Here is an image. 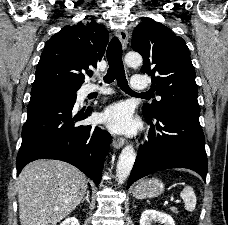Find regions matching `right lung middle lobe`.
<instances>
[{
  "instance_id": "right-lung-middle-lobe-1",
  "label": "right lung middle lobe",
  "mask_w": 228,
  "mask_h": 225,
  "mask_svg": "<svg viewBox=\"0 0 228 225\" xmlns=\"http://www.w3.org/2000/svg\"><path fill=\"white\" fill-rule=\"evenodd\" d=\"M79 88H71L61 84H46L33 87L31 90L30 103L55 98L76 99V91ZM29 103V104H30Z\"/></svg>"
}]
</instances>
